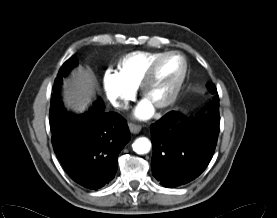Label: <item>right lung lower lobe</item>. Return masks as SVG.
I'll list each match as a JSON object with an SVG mask.
<instances>
[{
    "instance_id": "obj_1",
    "label": "right lung lower lobe",
    "mask_w": 277,
    "mask_h": 218,
    "mask_svg": "<svg viewBox=\"0 0 277 218\" xmlns=\"http://www.w3.org/2000/svg\"><path fill=\"white\" fill-rule=\"evenodd\" d=\"M57 77L51 101H60ZM130 132L125 120L117 113L103 111L101 99L93 108L69 117L52 132L54 152L67 174L81 186L97 190L108 184L117 172V159L129 142Z\"/></svg>"
}]
</instances>
